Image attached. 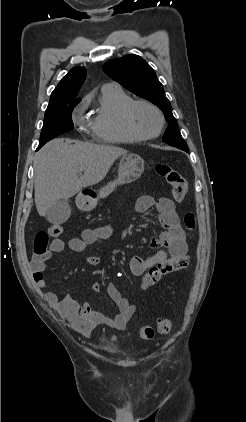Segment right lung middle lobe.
Returning <instances> with one entry per match:
<instances>
[{
  "label": "right lung middle lobe",
  "mask_w": 246,
  "mask_h": 422,
  "mask_svg": "<svg viewBox=\"0 0 246 422\" xmlns=\"http://www.w3.org/2000/svg\"><path fill=\"white\" fill-rule=\"evenodd\" d=\"M78 103L79 101L67 102L47 107L38 149L49 140L74 128L71 113Z\"/></svg>",
  "instance_id": "dd1d6c3e"
}]
</instances>
